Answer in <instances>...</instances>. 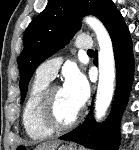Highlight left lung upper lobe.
I'll use <instances>...</instances> for the list:
<instances>
[{
  "label": "left lung upper lobe",
  "mask_w": 139,
  "mask_h": 150,
  "mask_svg": "<svg viewBox=\"0 0 139 150\" xmlns=\"http://www.w3.org/2000/svg\"><path fill=\"white\" fill-rule=\"evenodd\" d=\"M112 0H52L27 27L24 49L18 58L21 102L36 68L48 57L63 48L80 29V19L95 15L105 23Z\"/></svg>",
  "instance_id": "5c2ea615"
}]
</instances>
